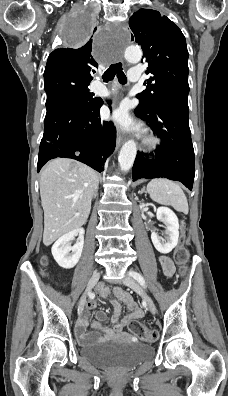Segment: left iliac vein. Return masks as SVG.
I'll return each instance as SVG.
<instances>
[{
	"instance_id": "left-iliac-vein-1",
	"label": "left iliac vein",
	"mask_w": 228,
	"mask_h": 396,
	"mask_svg": "<svg viewBox=\"0 0 228 396\" xmlns=\"http://www.w3.org/2000/svg\"><path fill=\"white\" fill-rule=\"evenodd\" d=\"M123 284L130 287L133 289L135 292H137L139 295L142 296V298L145 300L149 311L155 315L157 312L156 305L153 301V299L146 293V291L142 288V286L131 276H127L126 278L123 279Z\"/></svg>"
}]
</instances>
